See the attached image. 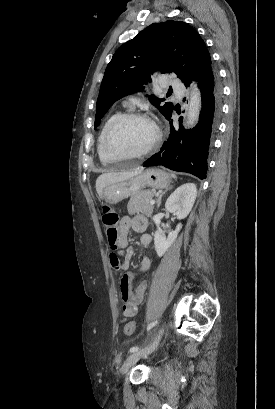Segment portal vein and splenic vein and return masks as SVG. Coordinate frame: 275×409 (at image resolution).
<instances>
[{"label":"portal vein and splenic vein","mask_w":275,"mask_h":409,"mask_svg":"<svg viewBox=\"0 0 275 409\" xmlns=\"http://www.w3.org/2000/svg\"><path fill=\"white\" fill-rule=\"evenodd\" d=\"M155 200H151L150 205H154Z\"/></svg>","instance_id":"portal-vein-and-splenic-vein-1"}]
</instances>
